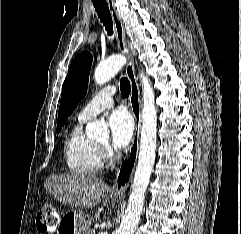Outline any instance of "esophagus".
I'll return each mask as SVG.
<instances>
[{"label": "esophagus", "instance_id": "esophagus-1", "mask_svg": "<svg viewBox=\"0 0 241 234\" xmlns=\"http://www.w3.org/2000/svg\"><path fill=\"white\" fill-rule=\"evenodd\" d=\"M106 2L108 4L111 17L115 25L118 45L121 51L128 58V63L126 66V74L131 86L129 101H130L131 112L135 119V130H134L131 147L129 149L125 162L120 166V168L117 171L116 179L111 188L112 195L123 196L132 178V175L136 166V162H137V157H138L140 130H141V101H140L139 86L135 75L134 60H133L132 52L127 42L124 26L117 14V11L115 10L114 0H106Z\"/></svg>", "mask_w": 241, "mask_h": 234}]
</instances>
